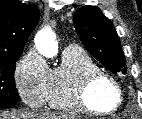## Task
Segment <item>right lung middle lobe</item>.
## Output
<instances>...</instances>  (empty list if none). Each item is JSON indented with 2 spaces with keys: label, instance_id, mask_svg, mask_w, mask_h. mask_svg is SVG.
I'll use <instances>...</instances> for the list:
<instances>
[{
  "label": "right lung middle lobe",
  "instance_id": "obj_1",
  "mask_svg": "<svg viewBox=\"0 0 142 119\" xmlns=\"http://www.w3.org/2000/svg\"><path fill=\"white\" fill-rule=\"evenodd\" d=\"M21 53L0 56V106L10 107L19 100L15 86V64Z\"/></svg>",
  "mask_w": 142,
  "mask_h": 119
}]
</instances>
